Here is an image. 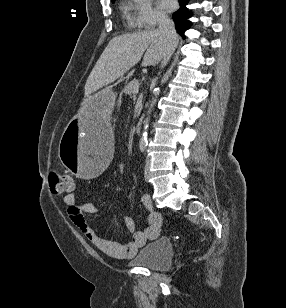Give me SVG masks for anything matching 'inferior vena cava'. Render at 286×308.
<instances>
[{
  "label": "inferior vena cava",
  "mask_w": 286,
  "mask_h": 308,
  "mask_svg": "<svg viewBox=\"0 0 286 308\" xmlns=\"http://www.w3.org/2000/svg\"><path fill=\"white\" fill-rule=\"evenodd\" d=\"M158 32L165 37L168 42V47L161 61V67L166 66L177 46V33L174 22L167 16H160Z\"/></svg>",
  "instance_id": "602c4592"
}]
</instances>
